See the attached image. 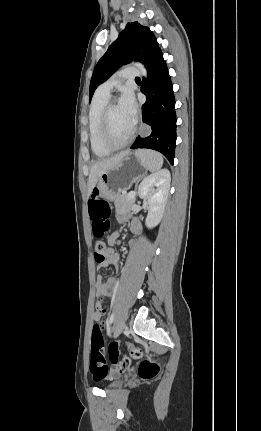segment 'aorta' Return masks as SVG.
I'll return each instance as SVG.
<instances>
[{
	"label": "aorta",
	"instance_id": "aorta-1",
	"mask_svg": "<svg viewBox=\"0 0 261 431\" xmlns=\"http://www.w3.org/2000/svg\"><path fill=\"white\" fill-rule=\"evenodd\" d=\"M135 66L139 69V71L141 72L142 76L147 77V70L145 68V66L141 63H135Z\"/></svg>",
	"mask_w": 261,
	"mask_h": 431
}]
</instances>
